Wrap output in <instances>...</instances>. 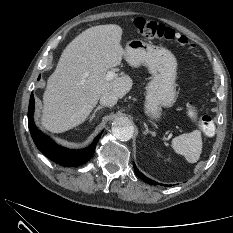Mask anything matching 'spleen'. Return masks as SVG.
<instances>
[{
  "label": "spleen",
  "instance_id": "3e777b00",
  "mask_svg": "<svg viewBox=\"0 0 233 233\" xmlns=\"http://www.w3.org/2000/svg\"><path fill=\"white\" fill-rule=\"evenodd\" d=\"M172 147L177 154L183 155L189 163H196L202 152L201 132L194 130L173 138Z\"/></svg>",
  "mask_w": 233,
  "mask_h": 233
}]
</instances>
